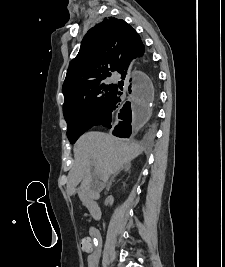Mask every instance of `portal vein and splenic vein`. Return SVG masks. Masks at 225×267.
<instances>
[{"mask_svg": "<svg viewBox=\"0 0 225 267\" xmlns=\"http://www.w3.org/2000/svg\"><path fill=\"white\" fill-rule=\"evenodd\" d=\"M93 166H95V163H92ZM97 172V170H95Z\"/></svg>", "mask_w": 225, "mask_h": 267, "instance_id": "obj_1", "label": "portal vein and splenic vein"}]
</instances>
